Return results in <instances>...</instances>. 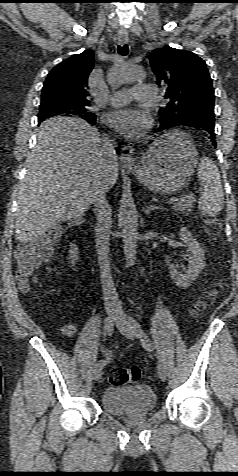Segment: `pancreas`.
Wrapping results in <instances>:
<instances>
[{
  "label": "pancreas",
  "instance_id": "pancreas-1",
  "mask_svg": "<svg viewBox=\"0 0 238 476\" xmlns=\"http://www.w3.org/2000/svg\"><path fill=\"white\" fill-rule=\"evenodd\" d=\"M196 202V198L193 194L182 197L178 203L173 205L175 211H180L183 214L188 215L192 210L193 204Z\"/></svg>",
  "mask_w": 238,
  "mask_h": 476
}]
</instances>
